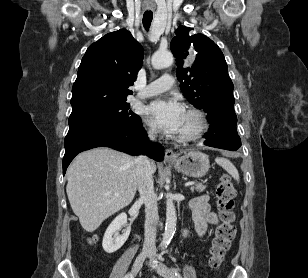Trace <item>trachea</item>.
Here are the masks:
<instances>
[{"instance_id":"3493384b","label":"trachea","mask_w":308,"mask_h":278,"mask_svg":"<svg viewBox=\"0 0 308 278\" xmlns=\"http://www.w3.org/2000/svg\"><path fill=\"white\" fill-rule=\"evenodd\" d=\"M152 19H153V13L150 11H146L143 15V26L146 30H149Z\"/></svg>"}]
</instances>
